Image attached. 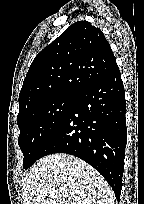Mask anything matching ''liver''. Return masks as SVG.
I'll use <instances>...</instances> for the list:
<instances>
[{
    "label": "liver",
    "mask_w": 144,
    "mask_h": 204,
    "mask_svg": "<svg viewBox=\"0 0 144 204\" xmlns=\"http://www.w3.org/2000/svg\"><path fill=\"white\" fill-rule=\"evenodd\" d=\"M24 204H114L107 181L85 161L64 153L37 161L21 181Z\"/></svg>",
    "instance_id": "1"
}]
</instances>
